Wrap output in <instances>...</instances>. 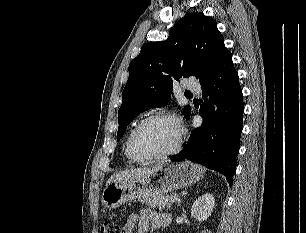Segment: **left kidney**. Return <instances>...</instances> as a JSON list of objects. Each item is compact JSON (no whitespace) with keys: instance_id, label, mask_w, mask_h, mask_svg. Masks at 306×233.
I'll return each mask as SVG.
<instances>
[{"instance_id":"left-kidney-1","label":"left kidney","mask_w":306,"mask_h":233,"mask_svg":"<svg viewBox=\"0 0 306 233\" xmlns=\"http://www.w3.org/2000/svg\"><path fill=\"white\" fill-rule=\"evenodd\" d=\"M214 206V196L210 193L203 194L192 205L191 215L199 222H202L208 219L213 212Z\"/></svg>"}]
</instances>
